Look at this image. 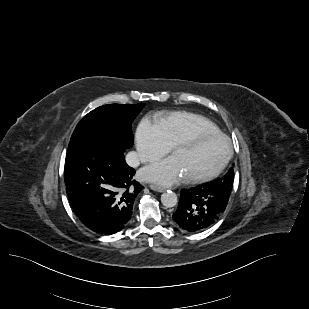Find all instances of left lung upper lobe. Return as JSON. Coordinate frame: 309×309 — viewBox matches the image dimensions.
<instances>
[{
    "mask_svg": "<svg viewBox=\"0 0 309 309\" xmlns=\"http://www.w3.org/2000/svg\"><path fill=\"white\" fill-rule=\"evenodd\" d=\"M233 179H234V170L233 168H230L224 177L219 178L218 180L210 184L217 186L218 188L232 190Z\"/></svg>",
    "mask_w": 309,
    "mask_h": 309,
    "instance_id": "obj_1",
    "label": "left lung upper lobe"
}]
</instances>
